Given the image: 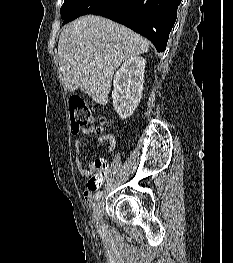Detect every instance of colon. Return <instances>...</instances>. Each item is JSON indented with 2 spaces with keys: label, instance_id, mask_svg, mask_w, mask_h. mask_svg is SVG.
Instances as JSON below:
<instances>
[{
  "label": "colon",
  "instance_id": "obj_1",
  "mask_svg": "<svg viewBox=\"0 0 233 263\" xmlns=\"http://www.w3.org/2000/svg\"><path fill=\"white\" fill-rule=\"evenodd\" d=\"M70 121L72 132L79 133L83 128L89 125H96L98 130H103L107 126V121L104 118L96 119L90 108L79 98H73L70 101ZM97 170L94 177L88 181L89 189H100V183L107 180L105 161L98 160L96 163Z\"/></svg>",
  "mask_w": 233,
  "mask_h": 263
}]
</instances>
